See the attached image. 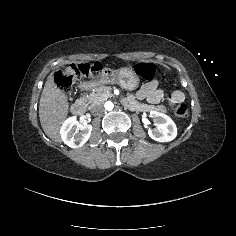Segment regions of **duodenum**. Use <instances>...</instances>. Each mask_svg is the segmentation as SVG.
Segmentation results:
<instances>
[{
	"label": "duodenum",
	"instance_id": "duodenum-1",
	"mask_svg": "<svg viewBox=\"0 0 236 236\" xmlns=\"http://www.w3.org/2000/svg\"><path fill=\"white\" fill-rule=\"evenodd\" d=\"M95 85L94 82H84L80 85V89L82 90H87L90 89ZM71 112L75 115H82L86 111V104L82 99H77L75 102L72 103L71 107Z\"/></svg>",
	"mask_w": 236,
	"mask_h": 236
}]
</instances>
